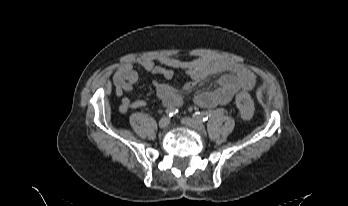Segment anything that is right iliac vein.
I'll return each instance as SVG.
<instances>
[{
    "label": "right iliac vein",
    "mask_w": 348,
    "mask_h": 206,
    "mask_svg": "<svg viewBox=\"0 0 348 206\" xmlns=\"http://www.w3.org/2000/svg\"><path fill=\"white\" fill-rule=\"evenodd\" d=\"M169 123H170V119L168 117H163L159 121V127L161 129H165L168 127Z\"/></svg>",
    "instance_id": "63e3f726"
}]
</instances>
